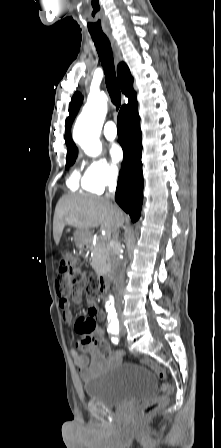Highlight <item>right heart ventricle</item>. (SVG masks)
Wrapping results in <instances>:
<instances>
[{"label": "right heart ventricle", "instance_id": "e07e8e85", "mask_svg": "<svg viewBox=\"0 0 221 448\" xmlns=\"http://www.w3.org/2000/svg\"><path fill=\"white\" fill-rule=\"evenodd\" d=\"M67 184L72 190H78L80 187L84 188L83 181L80 178V174L77 170H74L71 173L67 180Z\"/></svg>", "mask_w": 221, "mask_h": 448}]
</instances>
